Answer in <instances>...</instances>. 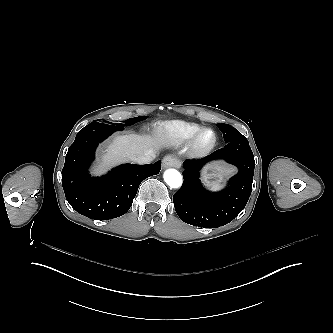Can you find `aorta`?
<instances>
[{
    "label": "aorta",
    "mask_w": 333,
    "mask_h": 333,
    "mask_svg": "<svg viewBox=\"0 0 333 333\" xmlns=\"http://www.w3.org/2000/svg\"><path fill=\"white\" fill-rule=\"evenodd\" d=\"M163 178L170 188H180L182 186L183 177L176 169H167L163 174Z\"/></svg>",
    "instance_id": "aorta-1"
}]
</instances>
